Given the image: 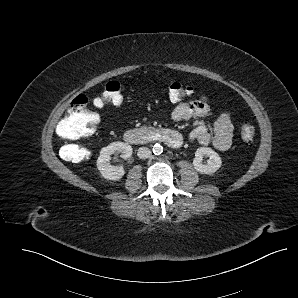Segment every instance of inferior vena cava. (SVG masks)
<instances>
[{
    "mask_svg": "<svg viewBox=\"0 0 298 298\" xmlns=\"http://www.w3.org/2000/svg\"><path fill=\"white\" fill-rule=\"evenodd\" d=\"M137 155L140 159H147L151 156V151L147 147H140L138 149Z\"/></svg>",
    "mask_w": 298,
    "mask_h": 298,
    "instance_id": "obj_1",
    "label": "inferior vena cava"
}]
</instances>
